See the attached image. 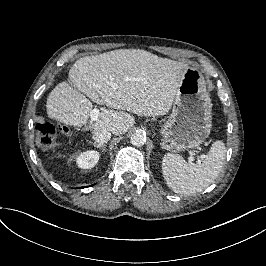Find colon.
Instances as JSON below:
<instances>
[{
	"instance_id": "colon-1",
	"label": "colon",
	"mask_w": 266,
	"mask_h": 266,
	"mask_svg": "<svg viewBox=\"0 0 266 266\" xmlns=\"http://www.w3.org/2000/svg\"><path fill=\"white\" fill-rule=\"evenodd\" d=\"M36 132L38 136V142L42 147L48 149L54 146L57 132L50 122H39L36 125Z\"/></svg>"
}]
</instances>
